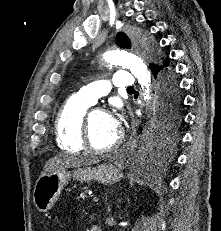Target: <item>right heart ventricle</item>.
Returning <instances> with one entry per match:
<instances>
[{
    "mask_svg": "<svg viewBox=\"0 0 221 231\" xmlns=\"http://www.w3.org/2000/svg\"><path fill=\"white\" fill-rule=\"evenodd\" d=\"M90 104L77 96L69 97L61 106L55 119L57 146L67 153L84 150L81 141V123Z\"/></svg>",
    "mask_w": 221,
    "mask_h": 231,
    "instance_id": "e07e8e85",
    "label": "right heart ventricle"
}]
</instances>
